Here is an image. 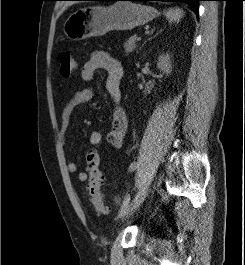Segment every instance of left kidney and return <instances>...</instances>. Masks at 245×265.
Returning a JSON list of instances; mask_svg holds the SVG:
<instances>
[{"instance_id":"1","label":"left kidney","mask_w":245,"mask_h":265,"mask_svg":"<svg viewBox=\"0 0 245 265\" xmlns=\"http://www.w3.org/2000/svg\"><path fill=\"white\" fill-rule=\"evenodd\" d=\"M157 67L165 74H170L172 71L170 55H161L158 58Z\"/></svg>"}]
</instances>
